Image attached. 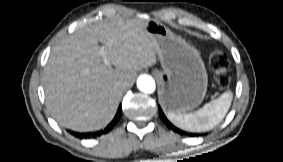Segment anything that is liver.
I'll return each instance as SVG.
<instances>
[{
  "label": "liver",
  "instance_id": "obj_1",
  "mask_svg": "<svg viewBox=\"0 0 283 162\" xmlns=\"http://www.w3.org/2000/svg\"><path fill=\"white\" fill-rule=\"evenodd\" d=\"M146 20L118 18L85 27L52 48L43 87L46 107L61 126L89 132L110 123L137 71L157 62L155 46L144 30ZM98 42L104 45V55Z\"/></svg>",
  "mask_w": 283,
  "mask_h": 162
}]
</instances>
